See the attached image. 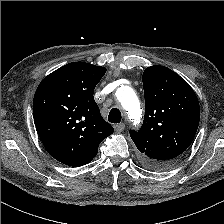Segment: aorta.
<instances>
[{
	"label": "aorta",
	"mask_w": 224,
	"mask_h": 224,
	"mask_svg": "<svg viewBox=\"0 0 224 224\" xmlns=\"http://www.w3.org/2000/svg\"><path fill=\"white\" fill-rule=\"evenodd\" d=\"M117 98L120 101L123 109L126 111L130 121L134 125L139 124L142 117V110L134 90L129 86H121L117 90Z\"/></svg>",
	"instance_id": "762f6f07"
}]
</instances>
